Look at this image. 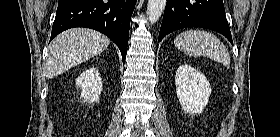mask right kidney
Listing matches in <instances>:
<instances>
[{
	"label": "right kidney",
	"instance_id": "right-kidney-1",
	"mask_svg": "<svg viewBox=\"0 0 280 137\" xmlns=\"http://www.w3.org/2000/svg\"><path fill=\"white\" fill-rule=\"evenodd\" d=\"M76 85L82 90L80 97L84 102L93 104L99 101L103 84L97 68L93 67L82 72L76 79Z\"/></svg>",
	"mask_w": 280,
	"mask_h": 137
}]
</instances>
